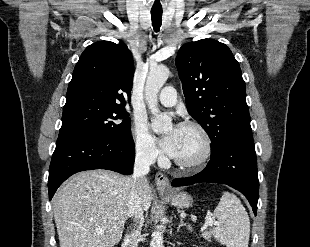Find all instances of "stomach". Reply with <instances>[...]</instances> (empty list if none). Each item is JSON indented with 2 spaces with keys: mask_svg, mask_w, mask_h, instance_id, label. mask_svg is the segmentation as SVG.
I'll list each match as a JSON object with an SVG mask.
<instances>
[{
  "mask_svg": "<svg viewBox=\"0 0 310 247\" xmlns=\"http://www.w3.org/2000/svg\"><path fill=\"white\" fill-rule=\"evenodd\" d=\"M162 196L168 200L173 206L180 208V209H187L192 205L193 198L191 195H189L186 192H180V193H173L170 195H164Z\"/></svg>",
  "mask_w": 310,
  "mask_h": 247,
  "instance_id": "stomach-1",
  "label": "stomach"
}]
</instances>
